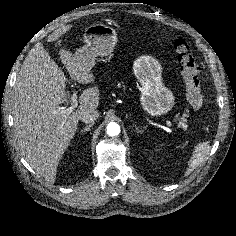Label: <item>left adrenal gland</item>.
<instances>
[{
  "instance_id": "left-adrenal-gland-1",
  "label": "left adrenal gland",
  "mask_w": 236,
  "mask_h": 236,
  "mask_svg": "<svg viewBox=\"0 0 236 236\" xmlns=\"http://www.w3.org/2000/svg\"><path fill=\"white\" fill-rule=\"evenodd\" d=\"M133 125L135 126V129H136L137 133H143V131L140 130L139 127L136 126V124H133Z\"/></svg>"
}]
</instances>
